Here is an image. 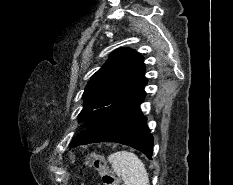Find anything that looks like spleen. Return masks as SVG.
<instances>
[{"mask_svg": "<svg viewBox=\"0 0 233 185\" xmlns=\"http://www.w3.org/2000/svg\"><path fill=\"white\" fill-rule=\"evenodd\" d=\"M113 171L125 185H149V177L143 162L132 152L117 151L108 156Z\"/></svg>", "mask_w": 233, "mask_h": 185, "instance_id": "1", "label": "spleen"}]
</instances>
